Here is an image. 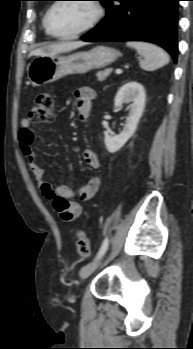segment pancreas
<instances>
[{
  "mask_svg": "<svg viewBox=\"0 0 193 349\" xmlns=\"http://www.w3.org/2000/svg\"><path fill=\"white\" fill-rule=\"evenodd\" d=\"M112 69H106L104 71H98L96 73V76L98 78L99 81H103L106 79V77H108L111 73Z\"/></svg>",
  "mask_w": 193,
  "mask_h": 349,
  "instance_id": "cf45deb5",
  "label": "pancreas"
}]
</instances>
